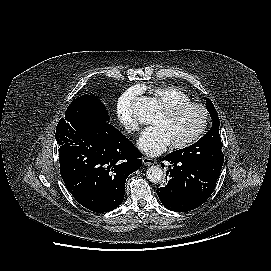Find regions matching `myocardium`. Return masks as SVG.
<instances>
[{
	"label": "myocardium",
	"instance_id": "f54148a6",
	"mask_svg": "<svg viewBox=\"0 0 271 271\" xmlns=\"http://www.w3.org/2000/svg\"><path fill=\"white\" fill-rule=\"evenodd\" d=\"M189 108H195L198 109L203 116L202 124L200 128L196 131L195 134H193L190 138L186 139L185 141L179 142V143H173L171 144V148L174 150H181L185 149L193 144H195L206 132L208 125H209V119L210 115L207 110V108L199 103L195 102H186V103H180V104H174L166 107H162L160 110V113L167 117H173L180 112L189 109Z\"/></svg>",
	"mask_w": 271,
	"mask_h": 271
}]
</instances>
